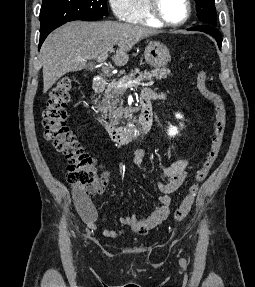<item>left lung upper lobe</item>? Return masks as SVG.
<instances>
[{"mask_svg":"<svg viewBox=\"0 0 255 287\" xmlns=\"http://www.w3.org/2000/svg\"><path fill=\"white\" fill-rule=\"evenodd\" d=\"M198 18L205 24L216 26V9L214 6L215 0H195Z\"/></svg>","mask_w":255,"mask_h":287,"instance_id":"left-lung-upper-lobe-1","label":"left lung upper lobe"}]
</instances>
